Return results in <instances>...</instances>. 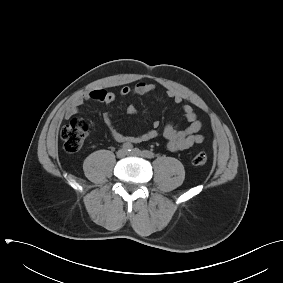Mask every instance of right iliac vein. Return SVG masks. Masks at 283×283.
Here are the masks:
<instances>
[{"mask_svg": "<svg viewBox=\"0 0 283 283\" xmlns=\"http://www.w3.org/2000/svg\"><path fill=\"white\" fill-rule=\"evenodd\" d=\"M116 155L118 158H123L127 155V151L124 149H120L117 151Z\"/></svg>", "mask_w": 283, "mask_h": 283, "instance_id": "63e3f726", "label": "right iliac vein"}]
</instances>
